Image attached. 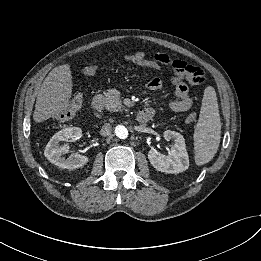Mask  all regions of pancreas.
<instances>
[{
    "label": "pancreas",
    "mask_w": 261,
    "mask_h": 261,
    "mask_svg": "<svg viewBox=\"0 0 261 261\" xmlns=\"http://www.w3.org/2000/svg\"><path fill=\"white\" fill-rule=\"evenodd\" d=\"M105 107L112 112L124 110V106L120 100V92L118 90L109 89L105 92Z\"/></svg>",
    "instance_id": "1"
}]
</instances>
